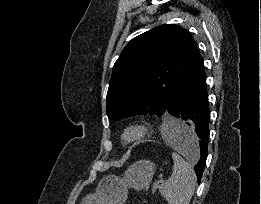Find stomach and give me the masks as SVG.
<instances>
[{
  "label": "stomach",
  "mask_w": 261,
  "mask_h": 204,
  "mask_svg": "<svg viewBox=\"0 0 261 204\" xmlns=\"http://www.w3.org/2000/svg\"><path fill=\"white\" fill-rule=\"evenodd\" d=\"M155 164L149 160H139L130 165L122 177L113 174L104 176L95 193L87 194L80 204H124L128 188L142 190L151 182Z\"/></svg>",
  "instance_id": "0dacf381"
}]
</instances>
